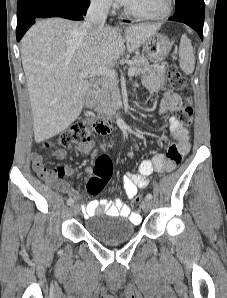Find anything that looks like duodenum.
Segmentation results:
<instances>
[{
    "instance_id": "duodenum-1",
    "label": "duodenum",
    "mask_w": 227,
    "mask_h": 298,
    "mask_svg": "<svg viewBox=\"0 0 227 298\" xmlns=\"http://www.w3.org/2000/svg\"><path fill=\"white\" fill-rule=\"evenodd\" d=\"M97 93L95 89L90 90L85 97V106L88 109H93L96 104ZM121 116V113L118 112L109 117L95 118L88 117V123L91 127L99 134H108L112 130L113 122Z\"/></svg>"
}]
</instances>
